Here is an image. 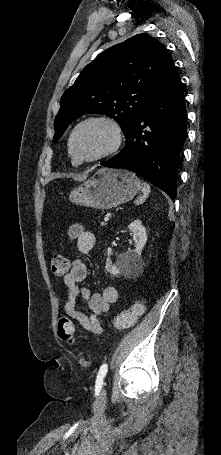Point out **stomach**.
Masks as SVG:
<instances>
[{
    "mask_svg": "<svg viewBox=\"0 0 221 455\" xmlns=\"http://www.w3.org/2000/svg\"><path fill=\"white\" fill-rule=\"evenodd\" d=\"M141 189L140 180L122 169H99L89 180L74 188L69 200L77 205L111 209L130 201Z\"/></svg>",
    "mask_w": 221,
    "mask_h": 455,
    "instance_id": "obj_1",
    "label": "stomach"
}]
</instances>
